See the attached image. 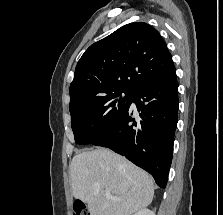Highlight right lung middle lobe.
Segmentation results:
<instances>
[{"label":"right lung middle lobe","instance_id":"1","mask_svg":"<svg viewBox=\"0 0 223 215\" xmlns=\"http://www.w3.org/2000/svg\"><path fill=\"white\" fill-rule=\"evenodd\" d=\"M124 93V97H119ZM133 92L119 90L70 109L71 127L77 144H91L103 137L122 118Z\"/></svg>","mask_w":223,"mask_h":215}]
</instances>
